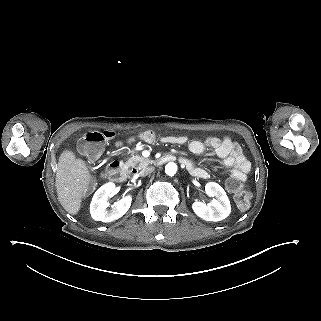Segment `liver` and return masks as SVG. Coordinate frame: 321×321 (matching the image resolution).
Listing matches in <instances>:
<instances>
[{
  "label": "liver",
  "mask_w": 321,
  "mask_h": 321,
  "mask_svg": "<svg viewBox=\"0 0 321 321\" xmlns=\"http://www.w3.org/2000/svg\"><path fill=\"white\" fill-rule=\"evenodd\" d=\"M91 181L89 170L82 159L65 150L59 157L55 185L62 207L71 215L80 210L83 196Z\"/></svg>",
  "instance_id": "liver-1"
}]
</instances>
